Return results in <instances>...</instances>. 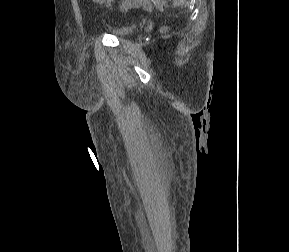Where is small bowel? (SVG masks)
Instances as JSON below:
<instances>
[{"label": "small bowel", "mask_w": 289, "mask_h": 252, "mask_svg": "<svg viewBox=\"0 0 289 252\" xmlns=\"http://www.w3.org/2000/svg\"><path fill=\"white\" fill-rule=\"evenodd\" d=\"M99 5H111L115 0H92Z\"/></svg>", "instance_id": "c3829d8e"}]
</instances>
